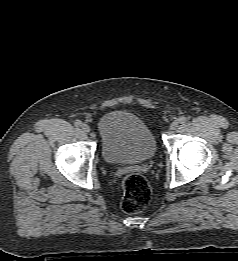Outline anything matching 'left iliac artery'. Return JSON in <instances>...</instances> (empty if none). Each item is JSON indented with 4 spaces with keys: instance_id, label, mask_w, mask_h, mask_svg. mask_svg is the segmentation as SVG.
Segmentation results:
<instances>
[{
    "instance_id": "44dca946",
    "label": "left iliac artery",
    "mask_w": 238,
    "mask_h": 261,
    "mask_svg": "<svg viewBox=\"0 0 238 261\" xmlns=\"http://www.w3.org/2000/svg\"><path fill=\"white\" fill-rule=\"evenodd\" d=\"M178 121H179V123L183 124V123H185V122L187 121V118L184 117V116H182V117H180V118L178 119Z\"/></svg>"
}]
</instances>
